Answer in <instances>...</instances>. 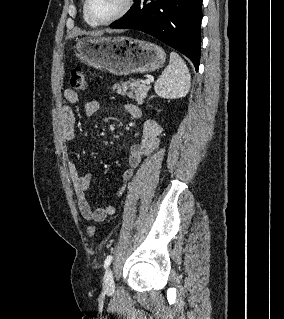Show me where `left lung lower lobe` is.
<instances>
[{
  "instance_id": "obj_1",
  "label": "left lung lower lobe",
  "mask_w": 284,
  "mask_h": 319,
  "mask_svg": "<svg viewBox=\"0 0 284 319\" xmlns=\"http://www.w3.org/2000/svg\"><path fill=\"white\" fill-rule=\"evenodd\" d=\"M202 0H135L111 28L143 31L200 63Z\"/></svg>"
}]
</instances>
